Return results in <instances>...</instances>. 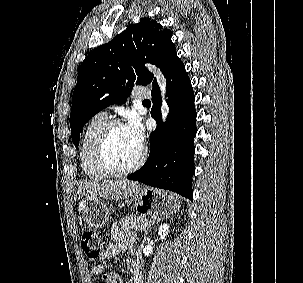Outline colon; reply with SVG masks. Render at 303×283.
I'll list each match as a JSON object with an SVG mask.
<instances>
[{
	"label": "colon",
	"mask_w": 303,
	"mask_h": 283,
	"mask_svg": "<svg viewBox=\"0 0 303 283\" xmlns=\"http://www.w3.org/2000/svg\"><path fill=\"white\" fill-rule=\"evenodd\" d=\"M105 237L91 230H85L80 237V245L86 257L90 260H97L104 249ZM98 283H117L115 275H104Z\"/></svg>",
	"instance_id": "obj_1"
}]
</instances>
